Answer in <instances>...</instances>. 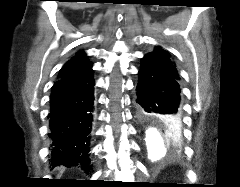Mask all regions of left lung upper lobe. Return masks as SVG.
I'll return each mask as SVG.
<instances>
[{
	"label": "left lung upper lobe",
	"instance_id": "5c2ea615",
	"mask_svg": "<svg viewBox=\"0 0 240 187\" xmlns=\"http://www.w3.org/2000/svg\"><path fill=\"white\" fill-rule=\"evenodd\" d=\"M154 57L157 61H159L175 78L179 79V75L176 69L175 62H173L170 58L168 52L162 49L161 46H156L153 52L148 53ZM154 124L157 125L163 133L166 135L168 139L172 142L180 143L181 140V129H178L174 134H170V131L167 129L165 123L161 120H153Z\"/></svg>",
	"mask_w": 240,
	"mask_h": 187
}]
</instances>
